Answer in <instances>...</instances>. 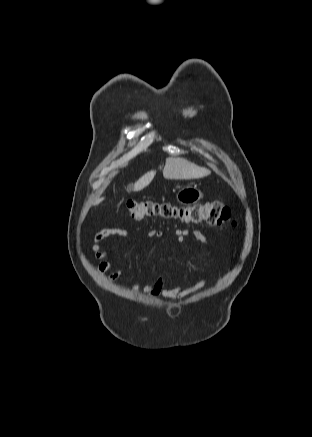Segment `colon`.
<instances>
[{
  "instance_id": "colon-1",
  "label": "colon",
  "mask_w": 312,
  "mask_h": 437,
  "mask_svg": "<svg viewBox=\"0 0 312 437\" xmlns=\"http://www.w3.org/2000/svg\"><path fill=\"white\" fill-rule=\"evenodd\" d=\"M126 207L131 218L141 221L152 216L175 218L186 223L206 222L213 226L227 228L234 225L228 207L218 201H207L186 207L169 202H155L143 199H128Z\"/></svg>"
}]
</instances>
